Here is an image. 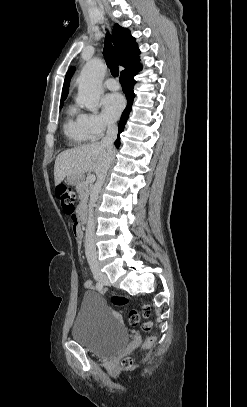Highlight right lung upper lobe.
Instances as JSON below:
<instances>
[{
	"mask_svg": "<svg viewBox=\"0 0 247 407\" xmlns=\"http://www.w3.org/2000/svg\"><path fill=\"white\" fill-rule=\"evenodd\" d=\"M113 43L117 50L118 63L121 66H124L125 69L135 65V63L139 61L138 56L140 54V50L138 49V45L135 43V38L130 35V31L128 29L122 28L118 24H115L113 28ZM74 71L75 68L72 67L70 70H68L65 76L61 101H64L68 95L69 82Z\"/></svg>",
	"mask_w": 247,
	"mask_h": 407,
	"instance_id": "cb5924a9",
	"label": "right lung upper lobe"
}]
</instances>
